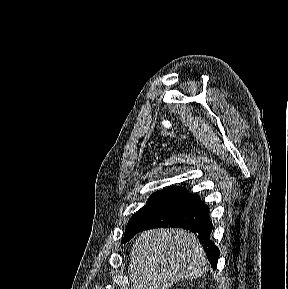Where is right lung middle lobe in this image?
<instances>
[{"label":"right lung middle lobe","mask_w":288,"mask_h":289,"mask_svg":"<svg viewBox=\"0 0 288 289\" xmlns=\"http://www.w3.org/2000/svg\"><path fill=\"white\" fill-rule=\"evenodd\" d=\"M186 193V190L163 189L152 194L147 204L129 220L122 243L129 241L148 223L175 206Z\"/></svg>","instance_id":"right-lung-middle-lobe-1"}]
</instances>
